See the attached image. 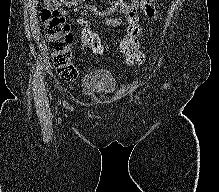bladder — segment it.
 <instances>
[{
    "label": "bladder",
    "instance_id": "1",
    "mask_svg": "<svg viewBox=\"0 0 219 192\" xmlns=\"http://www.w3.org/2000/svg\"><path fill=\"white\" fill-rule=\"evenodd\" d=\"M114 85L115 79L113 75L106 70H91L83 77L84 92L88 96L109 92Z\"/></svg>",
    "mask_w": 219,
    "mask_h": 192
}]
</instances>
